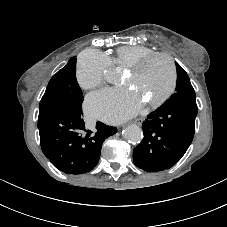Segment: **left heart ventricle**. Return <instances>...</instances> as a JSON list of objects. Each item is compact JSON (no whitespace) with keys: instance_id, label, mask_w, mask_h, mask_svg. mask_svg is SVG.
<instances>
[{"instance_id":"obj_1","label":"left heart ventricle","mask_w":227,"mask_h":227,"mask_svg":"<svg viewBox=\"0 0 227 227\" xmlns=\"http://www.w3.org/2000/svg\"><path fill=\"white\" fill-rule=\"evenodd\" d=\"M171 80L172 72L168 61L158 57L148 63L142 71L128 72L124 83L133 87L135 93L148 102L159 98L169 88Z\"/></svg>"}]
</instances>
